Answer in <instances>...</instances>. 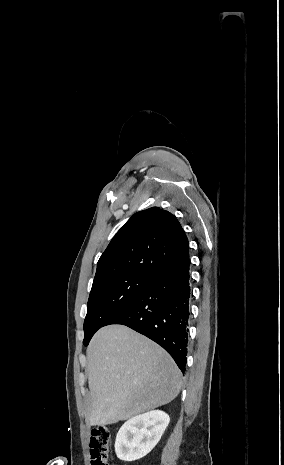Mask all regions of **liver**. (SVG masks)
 Segmentation results:
<instances>
[{"mask_svg": "<svg viewBox=\"0 0 284 465\" xmlns=\"http://www.w3.org/2000/svg\"><path fill=\"white\" fill-rule=\"evenodd\" d=\"M87 359L91 427L126 421L180 393L182 375L170 355L123 325L97 331Z\"/></svg>", "mask_w": 284, "mask_h": 465, "instance_id": "1", "label": "liver"}]
</instances>
